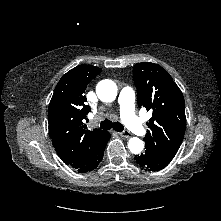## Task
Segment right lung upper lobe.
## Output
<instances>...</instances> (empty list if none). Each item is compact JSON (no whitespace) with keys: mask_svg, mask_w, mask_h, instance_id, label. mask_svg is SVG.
<instances>
[{"mask_svg":"<svg viewBox=\"0 0 221 221\" xmlns=\"http://www.w3.org/2000/svg\"><path fill=\"white\" fill-rule=\"evenodd\" d=\"M100 72V68L85 64L68 71L59 80L48 107L52 144L60 159L75 169L92 158L106 133L100 129L90 131L83 123L90 112L84 92Z\"/></svg>","mask_w":221,"mask_h":221,"instance_id":"cb5924a9","label":"right lung upper lobe"}]
</instances>
